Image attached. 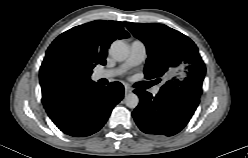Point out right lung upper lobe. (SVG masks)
<instances>
[{
  "instance_id": "1",
  "label": "right lung upper lobe",
  "mask_w": 248,
  "mask_h": 158,
  "mask_svg": "<svg viewBox=\"0 0 248 158\" xmlns=\"http://www.w3.org/2000/svg\"><path fill=\"white\" fill-rule=\"evenodd\" d=\"M128 36L121 22L105 20L79 25L59 35L49 46L40 68L42 98L93 83L92 69L97 64L105 65L110 44ZM62 60L68 62V68L61 67Z\"/></svg>"
}]
</instances>
